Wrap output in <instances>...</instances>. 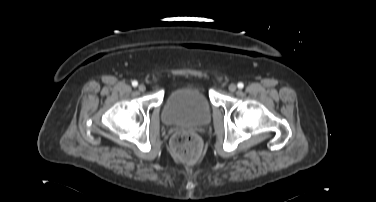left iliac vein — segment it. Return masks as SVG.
<instances>
[{"mask_svg":"<svg viewBox=\"0 0 376 202\" xmlns=\"http://www.w3.org/2000/svg\"><path fill=\"white\" fill-rule=\"evenodd\" d=\"M228 89H229L230 92H235L236 89H237V86L232 83V84L229 85Z\"/></svg>","mask_w":376,"mask_h":202,"instance_id":"obj_1","label":"left iliac vein"}]
</instances>
